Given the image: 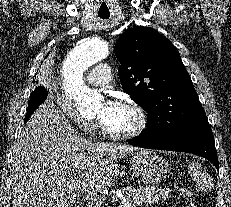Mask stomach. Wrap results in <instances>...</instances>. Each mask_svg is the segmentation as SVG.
<instances>
[{"label": "stomach", "mask_w": 231, "mask_h": 207, "mask_svg": "<svg viewBox=\"0 0 231 207\" xmlns=\"http://www.w3.org/2000/svg\"><path fill=\"white\" fill-rule=\"evenodd\" d=\"M130 170L138 181L155 185L166 177L169 168L166 161L156 152L140 149L131 156Z\"/></svg>", "instance_id": "stomach-1"}]
</instances>
